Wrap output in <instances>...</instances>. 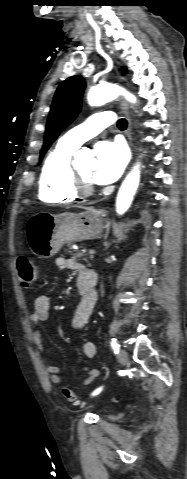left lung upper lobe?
Returning a JSON list of instances; mask_svg holds the SVG:
<instances>
[{
	"instance_id": "5c2ea615",
	"label": "left lung upper lobe",
	"mask_w": 187,
	"mask_h": 479,
	"mask_svg": "<svg viewBox=\"0 0 187 479\" xmlns=\"http://www.w3.org/2000/svg\"><path fill=\"white\" fill-rule=\"evenodd\" d=\"M122 71L124 73L127 72L125 67L122 68ZM85 86L86 83L82 76H72L59 85L54 96L46 126L41 158L59 133L64 130L80 112L81 99Z\"/></svg>"
}]
</instances>
